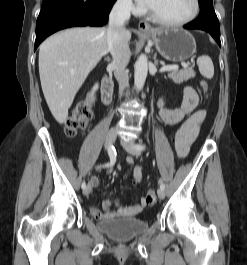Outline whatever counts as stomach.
<instances>
[{"label":"stomach","instance_id":"1","mask_svg":"<svg viewBox=\"0 0 247 265\" xmlns=\"http://www.w3.org/2000/svg\"><path fill=\"white\" fill-rule=\"evenodd\" d=\"M145 35L152 38L157 51L168 61H185L196 52L195 39L186 30L157 28L145 33Z\"/></svg>","mask_w":247,"mask_h":265}]
</instances>
